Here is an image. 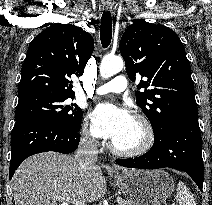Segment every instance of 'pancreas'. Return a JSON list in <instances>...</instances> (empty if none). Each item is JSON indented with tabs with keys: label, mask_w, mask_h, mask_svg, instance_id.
I'll use <instances>...</instances> for the list:
<instances>
[{
	"label": "pancreas",
	"mask_w": 212,
	"mask_h": 205,
	"mask_svg": "<svg viewBox=\"0 0 212 205\" xmlns=\"http://www.w3.org/2000/svg\"><path fill=\"white\" fill-rule=\"evenodd\" d=\"M117 202L119 205H133L132 203H130L122 198H119V197L117 198Z\"/></svg>",
	"instance_id": "cf45deb5"
}]
</instances>
